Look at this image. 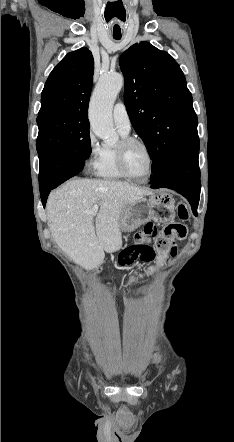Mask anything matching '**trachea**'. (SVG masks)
<instances>
[{"mask_svg":"<svg viewBox=\"0 0 234 442\" xmlns=\"http://www.w3.org/2000/svg\"><path fill=\"white\" fill-rule=\"evenodd\" d=\"M114 39H116V40H120L121 38H118V37H114Z\"/></svg>","mask_w":234,"mask_h":442,"instance_id":"3493384b","label":"trachea"}]
</instances>
